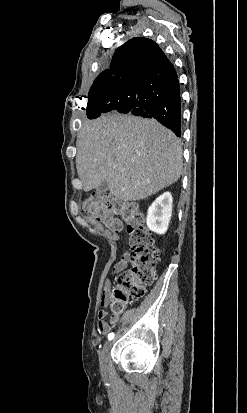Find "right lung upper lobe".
Returning a JSON list of instances; mask_svg holds the SVG:
<instances>
[{
  "mask_svg": "<svg viewBox=\"0 0 247 413\" xmlns=\"http://www.w3.org/2000/svg\"><path fill=\"white\" fill-rule=\"evenodd\" d=\"M170 64L160 47L152 40L136 37L120 46L114 53L110 69L96 80L121 82L135 72H156Z\"/></svg>",
  "mask_w": 247,
  "mask_h": 413,
  "instance_id": "right-lung-upper-lobe-1",
  "label": "right lung upper lobe"
}]
</instances>
